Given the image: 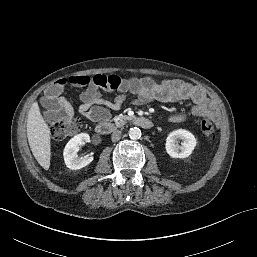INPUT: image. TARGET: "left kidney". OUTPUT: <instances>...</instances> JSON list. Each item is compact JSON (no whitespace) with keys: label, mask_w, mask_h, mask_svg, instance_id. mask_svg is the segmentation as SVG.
<instances>
[{"label":"left kidney","mask_w":257,"mask_h":257,"mask_svg":"<svg viewBox=\"0 0 257 257\" xmlns=\"http://www.w3.org/2000/svg\"><path fill=\"white\" fill-rule=\"evenodd\" d=\"M178 139L183 141L181 145L178 144ZM196 144L197 140L191 132L185 129H178L168 135L165 149L170 157L183 159L192 154Z\"/></svg>","instance_id":"5707ae66"}]
</instances>
